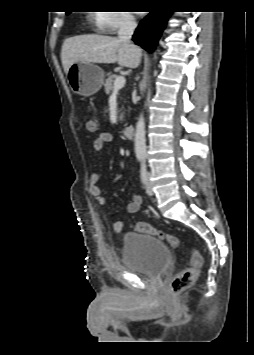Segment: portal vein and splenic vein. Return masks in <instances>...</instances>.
I'll use <instances>...</instances> for the list:
<instances>
[{"label": "portal vein and splenic vein", "instance_id": "18ae733b", "mask_svg": "<svg viewBox=\"0 0 254 355\" xmlns=\"http://www.w3.org/2000/svg\"><path fill=\"white\" fill-rule=\"evenodd\" d=\"M125 83H126L125 77L118 76L114 81L113 90L114 91L120 90L122 87H124Z\"/></svg>", "mask_w": 254, "mask_h": 355}]
</instances>
